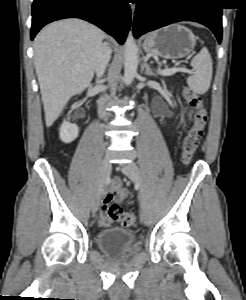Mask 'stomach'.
I'll return each mask as SVG.
<instances>
[{
	"label": "stomach",
	"mask_w": 246,
	"mask_h": 300,
	"mask_svg": "<svg viewBox=\"0 0 246 300\" xmlns=\"http://www.w3.org/2000/svg\"><path fill=\"white\" fill-rule=\"evenodd\" d=\"M196 37L187 27L171 24L146 35L143 48L154 56L179 59L188 55L195 47Z\"/></svg>",
	"instance_id": "1"
}]
</instances>
